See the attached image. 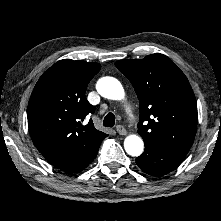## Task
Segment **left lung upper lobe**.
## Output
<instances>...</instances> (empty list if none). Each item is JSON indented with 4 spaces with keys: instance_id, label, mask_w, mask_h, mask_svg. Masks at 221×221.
Segmentation results:
<instances>
[{
    "instance_id": "1",
    "label": "left lung upper lobe",
    "mask_w": 221,
    "mask_h": 221,
    "mask_svg": "<svg viewBox=\"0 0 221 221\" xmlns=\"http://www.w3.org/2000/svg\"><path fill=\"white\" fill-rule=\"evenodd\" d=\"M115 65L139 99L138 133L144 142L187 154L196 134L197 105L184 73L160 53Z\"/></svg>"
}]
</instances>
